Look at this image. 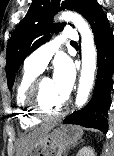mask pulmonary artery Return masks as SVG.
<instances>
[{
  "label": "pulmonary artery",
  "instance_id": "pulmonary-artery-1",
  "mask_svg": "<svg viewBox=\"0 0 114 156\" xmlns=\"http://www.w3.org/2000/svg\"><path fill=\"white\" fill-rule=\"evenodd\" d=\"M77 40V32L72 28H68L60 36L54 38L30 54L25 60V65L43 71L53 54L63 42H76Z\"/></svg>",
  "mask_w": 114,
  "mask_h": 156
}]
</instances>
